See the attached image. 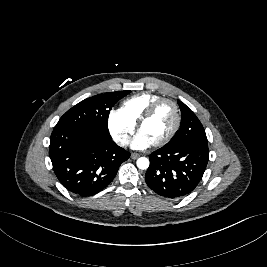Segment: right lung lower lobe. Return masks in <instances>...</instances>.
I'll use <instances>...</instances> for the list:
<instances>
[{
    "label": "right lung lower lobe",
    "instance_id": "1",
    "mask_svg": "<svg viewBox=\"0 0 267 267\" xmlns=\"http://www.w3.org/2000/svg\"><path fill=\"white\" fill-rule=\"evenodd\" d=\"M49 154L53 170L71 193L87 197L103 190L130 153L100 128H54Z\"/></svg>",
    "mask_w": 267,
    "mask_h": 267
}]
</instances>
